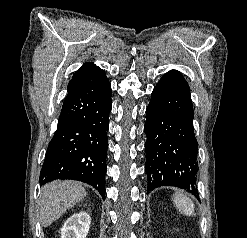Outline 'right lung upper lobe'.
<instances>
[{"label": "right lung upper lobe", "mask_w": 247, "mask_h": 238, "mask_svg": "<svg viewBox=\"0 0 247 238\" xmlns=\"http://www.w3.org/2000/svg\"><path fill=\"white\" fill-rule=\"evenodd\" d=\"M98 68L93 63H85L81 68L76 71L68 84L67 91H70L82 78L87 74Z\"/></svg>", "instance_id": "obj_1"}]
</instances>
